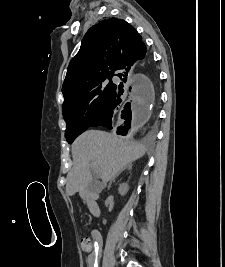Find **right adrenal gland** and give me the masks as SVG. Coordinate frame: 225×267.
Returning a JSON list of instances; mask_svg holds the SVG:
<instances>
[{
  "instance_id": "right-adrenal-gland-1",
  "label": "right adrenal gland",
  "mask_w": 225,
  "mask_h": 267,
  "mask_svg": "<svg viewBox=\"0 0 225 267\" xmlns=\"http://www.w3.org/2000/svg\"><path fill=\"white\" fill-rule=\"evenodd\" d=\"M131 168H132V165L131 164H129V165H127L123 170H121L111 181H110V183H109V188H110V186H111V184H112V182H114V180H115V178L117 177V176H119L120 174H121V172L122 171H124L125 169H128V170H131Z\"/></svg>"
}]
</instances>
